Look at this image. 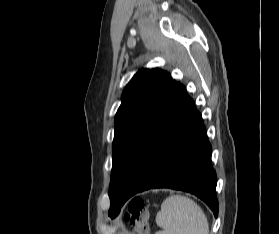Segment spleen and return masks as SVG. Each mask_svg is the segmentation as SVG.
Wrapping results in <instances>:
<instances>
[{"instance_id": "spleen-1", "label": "spleen", "mask_w": 279, "mask_h": 234, "mask_svg": "<svg viewBox=\"0 0 279 234\" xmlns=\"http://www.w3.org/2000/svg\"><path fill=\"white\" fill-rule=\"evenodd\" d=\"M156 223L162 229L156 234H209L208 220L201 207L181 195L163 201Z\"/></svg>"}]
</instances>
